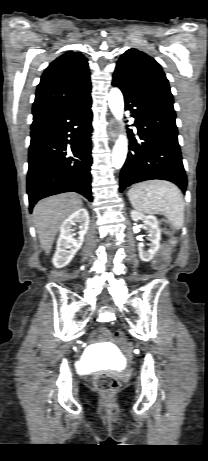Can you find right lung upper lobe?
<instances>
[{"mask_svg":"<svg viewBox=\"0 0 208 461\" xmlns=\"http://www.w3.org/2000/svg\"><path fill=\"white\" fill-rule=\"evenodd\" d=\"M91 93L88 62L69 51L55 59L42 74L33 103V120L85 102Z\"/></svg>","mask_w":208,"mask_h":461,"instance_id":"obj_1","label":"right lung upper lobe"}]
</instances>
